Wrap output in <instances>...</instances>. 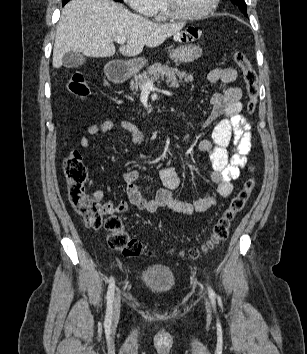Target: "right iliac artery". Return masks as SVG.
<instances>
[{
  "label": "right iliac artery",
  "instance_id": "right-iliac-artery-1",
  "mask_svg": "<svg viewBox=\"0 0 307 354\" xmlns=\"http://www.w3.org/2000/svg\"><path fill=\"white\" fill-rule=\"evenodd\" d=\"M114 291H115V282L114 279L111 278L108 291H107V309H106V316H105V321L107 323H110L112 318V303L114 299Z\"/></svg>",
  "mask_w": 307,
  "mask_h": 354
}]
</instances>
